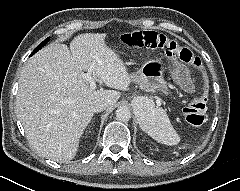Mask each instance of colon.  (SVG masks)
<instances>
[{
  "label": "colon",
  "mask_w": 240,
  "mask_h": 191,
  "mask_svg": "<svg viewBox=\"0 0 240 191\" xmlns=\"http://www.w3.org/2000/svg\"><path fill=\"white\" fill-rule=\"evenodd\" d=\"M122 42L130 48H159L168 55H177L183 62L194 67L201 75L202 88L196 97L184 110L186 120L194 126L203 124L206 114V103L208 98V80L200 58L189 48L180 45L176 40L155 31H138L127 33Z\"/></svg>",
  "instance_id": "obj_1"
}]
</instances>
